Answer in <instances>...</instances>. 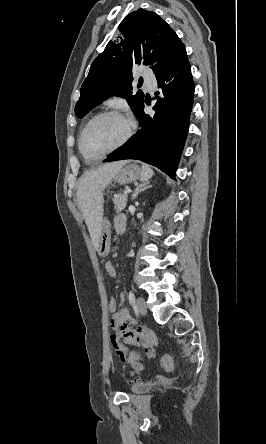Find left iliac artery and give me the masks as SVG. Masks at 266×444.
Segmentation results:
<instances>
[{
	"instance_id": "left-iliac-artery-1",
	"label": "left iliac artery",
	"mask_w": 266,
	"mask_h": 444,
	"mask_svg": "<svg viewBox=\"0 0 266 444\" xmlns=\"http://www.w3.org/2000/svg\"><path fill=\"white\" fill-rule=\"evenodd\" d=\"M128 299H129V303L133 306L135 304V296H134L133 292H131V291L129 292Z\"/></svg>"
}]
</instances>
